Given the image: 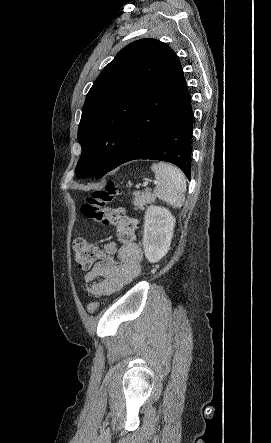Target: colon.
<instances>
[{"label":"colon","mask_w":271,"mask_h":443,"mask_svg":"<svg viewBox=\"0 0 271 443\" xmlns=\"http://www.w3.org/2000/svg\"><path fill=\"white\" fill-rule=\"evenodd\" d=\"M119 193V187L114 181H108L103 189L94 191L82 206L83 215L92 222L114 227L121 243L127 244L135 239L137 221L129 217L121 208H110L109 204ZM75 262L82 270L91 268L96 259L100 257V251L96 244L84 238H76L73 242ZM99 302L92 301L88 304L89 313H96Z\"/></svg>","instance_id":"1"}]
</instances>
